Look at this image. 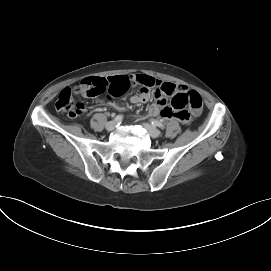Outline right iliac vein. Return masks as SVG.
<instances>
[{"label":"right iliac vein","mask_w":271,"mask_h":271,"mask_svg":"<svg viewBox=\"0 0 271 271\" xmlns=\"http://www.w3.org/2000/svg\"><path fill=\"white\" fill-rule=\"evenodd\" d=\"M115 127H116V123L114 121H109L106 124L107 131H112V130H114Z\"/></svg>","instance_id":"63e3f726"}]
</instances>
